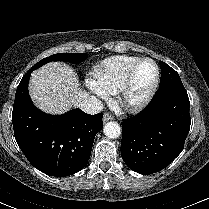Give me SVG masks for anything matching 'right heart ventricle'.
Returning <instances> with one entry per match:
<instances>
[{
	"label": "right heart ventricle",
	"mask_w": 209,
	"mask_h": 209,
	"mask_svg": "<svg viewBox=\"0 0 209 209\" xmlns=\"http://www.w3.org/2000/svg\"><path fill=\"white\" fill-rule=\"evenodd\" d=\"M139 59L137 56L118 55L103 60L94 72L96 83L107 94H117L128 69Z\"/></svg>",
	"instance_id": "obj_1"
}]
</instances>
